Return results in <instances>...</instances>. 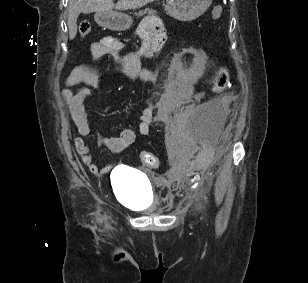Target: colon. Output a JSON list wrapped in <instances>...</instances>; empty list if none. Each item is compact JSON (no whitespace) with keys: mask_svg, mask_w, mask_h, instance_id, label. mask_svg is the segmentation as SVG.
Here are the masks:
<instances>
[{"mask_svg":"<svg viewBox=\"0 0 308 283\" xmlns=\"http://www.w3.org/2000/svg\"><path fill=\"white\" fill-rule=\"evenodd\" d=\"M222 15V7L217 5L213 8L211 17L216 20ZM91 31V25L88 21H82L79 24V32L82 36H86ZM230 80V73L226 67H221L214 76L212 82V89L216 93L222 92L228 85ZM142 164L147 168H157L159 166V159L150 152H143L141 154Z\"/></svg>","mask_w":308,"mask_h":283,"instance_id":"obj_1","label":"colon"}]
</instances>
